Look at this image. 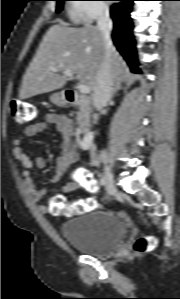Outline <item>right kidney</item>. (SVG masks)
<instances>
[{
	"mask_svg": "<svg viewBox=\"0 0 180 299\" xmlns=\"http://www.w3.org/2000/svg\"><path fill=\"white\" fill-rule=\"evenodd\" d=\"M93 138H94L93 132L87 133L80 143L81 148L83 150H88L92 144Z\"/></svg>",
	"mask_w": 180,
	"mask_h": 299,
	"instance_id": "right-kidney-1",
	"label": "right kidney"
}]
</instances>
